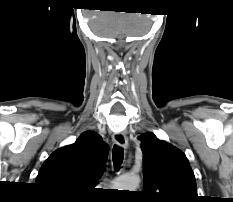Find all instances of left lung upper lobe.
Wrapping results in <instances>:
<instances>
[{
	"instance_id": "5c2ea615",
	"label": "left lung upper lobe",
	"mask_w": 233,
	"mask_h": 202,
	"mask_svg": "<svg viewBox=\"0 0 233 202\" xmlns=\"http://www.w3.org/2000/svg\"><path fill=\"white\" fill-rule=\"evenodd\" d=\"M144 190L147 202H197V187L182 151L154 134L141 135Z\"/></svg>"
}]
</instances>
